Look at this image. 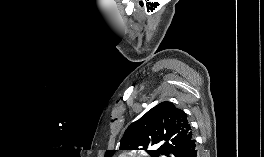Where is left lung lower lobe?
Segmentation results:
<instances>
[{
    "instance_id": "1",
    "label": "left lung lower lobe",
    "mask_w": 264,
    "mask_h": 157,
    "mask_svg": "<svg viewBox=\"0 0 264 157\" xmlns=\"http://www.w3.org/2000/svg\"><path fill=\"white\" fill-rule=\"evenodd\" d=\"M182 157H199L196 149V142L192 139L183 151Z\"/></svg>"
}]
</instances>
